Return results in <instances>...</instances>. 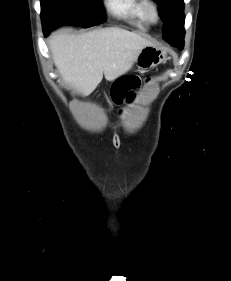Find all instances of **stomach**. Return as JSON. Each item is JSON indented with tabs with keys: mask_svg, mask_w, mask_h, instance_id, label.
Returning <instances> with one entry per match:
<instances>
[{
	"mask_svg": "<svg viewBox=\"0 0 231 281\" xmlns=\"http://www.w3.org/2000/svg\"><path fill=\"white\" fill-rule=\"evenodd\" d=\"M166 53L153 45L144 47L135 59V64L139 70H147L164 62Z\"/></svg>",
	"mask_w": 231,
	"mask_h": 281,
	"instance_id": "1",
	"label": "stomach"
}]
</instances>
